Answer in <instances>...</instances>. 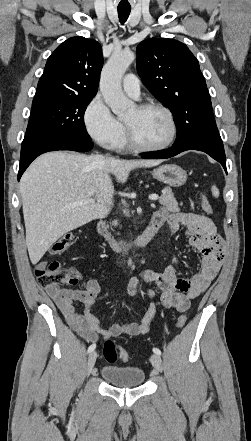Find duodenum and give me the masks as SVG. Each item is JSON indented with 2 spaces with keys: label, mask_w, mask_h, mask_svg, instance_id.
Returning a JSON list of instances; mask_svg holds the SVG:
<instances>
[{
  "label": "duodenum",
  "mask_w": 251,
  "mask_h": 441,
  "mask_svg": "<svg viewBox=\"0 0 251 441\" xmlns=\"http://www.w3.org/2000/svg\"><path fill=\"white\" fill-rule=\"evenodd\" d=\"M160 226H161V222L156 220L154 217H152L145 230L140 235H138L132 242L129 243L118 241L109 231L107 225L104 222H99L97 229H98V233L103 238H105V240L115 251L122 252L129 250L131 247L144 246L147 243H149L152 240V238L157 234Z\"/></svg>",
  "instance_id": "1"
}]
</instances>
